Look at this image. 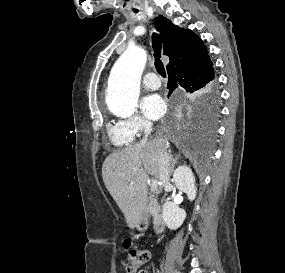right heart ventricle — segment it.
<instances>
[{"label": "right heart ventricle", "mask_w": 285, "mask_h": 273, "mask_svg": "<svg viewBox=\"0 0 285 273\" xmlns=\"http://www.w3.org/2000/svg\"><path fill=\"white\" fill-rule=\"evenodd\" d=\"M107 133L111 143L118 148L127 147L134 141V137L128 134L119 123H109Z\"/></svg>", "instance_id": "e07e8e85"}]
</instances>
